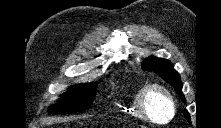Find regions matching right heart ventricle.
Returning <instances> with one entry per match:
<instances>
[{
  "instance_id": "e07e8e85",
  "label": "right heart ventricle",
  "mask_w": 221,
  "mask_h": 128,
  "mask_svg": "<svg viewBox=\"0 0 221 128\" xmlns=\"http://www.w3.org/2000/svg\"><path fill=\"white\" fill-rule=\"evenodd\" d=\"M144 87V85H140L127 99L123 100L122 105L120 106L121 113L135 117L142 116L140 112L139 100L140 94Z\"/></svg>"
}]
</instances>
